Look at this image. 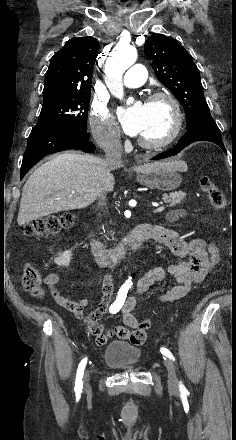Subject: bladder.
<instances>
[{"instance_id": "31cf9c89", "label": "bladder", "mask_w": 236, "mask_h": 440, "mask_svg": "<svg viewBox=\"0 0 236 440\" xmlns=\"http://www.w3.org/2000/svg\"><path fill=\"white\" fill-rule=\"evenodd\" d=\"M142 350L127 342L115 340L106 347L104 362L118 370L135 369L141 361Z\"/></svg>"}]
</instances>
